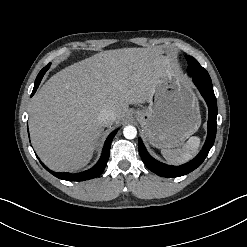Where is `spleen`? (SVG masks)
Returning <instances> with one entry per match:
<instances>
[{
  "mask_svg": "<svg viewBox=\"0 0 247 247\" xmlns=\"http://www.w3.org/2000/svg\"><path fill=\"white\" fill-rule=\"evenodd\" d=\"M200 138L192 136L179 149H162L161 153L166 161L172 164H182L192 159L198 152Z\"/></svg>",
  "mask_w": 247,
  "mask_h": 247,
  "instance_id": "obj_1",
  "label": "spleen"
}]
</instances>
